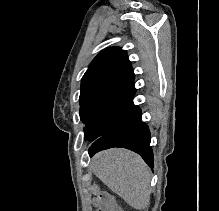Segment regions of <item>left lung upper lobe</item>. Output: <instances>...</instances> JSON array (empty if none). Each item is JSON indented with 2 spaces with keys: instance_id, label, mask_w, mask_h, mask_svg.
<instances>
[{
  "instance_id": "obj_1",
  "label": "left lung upper lobe",
  "mask_w": 219,
  "mask_h": 211,
  "mask_svg": "<svg viewBox=\"0 0 219 211\" xmlns=\"http://www.w3.org/2000/svg\"><path fill=\"white\" fill-rule=\"evenodd\" d=\"M134 77L126 51L119 47L104 49L94 58L82 78L79 98L85 140L109 134L132 108Z\"/></svg>"
}]
</instances>
